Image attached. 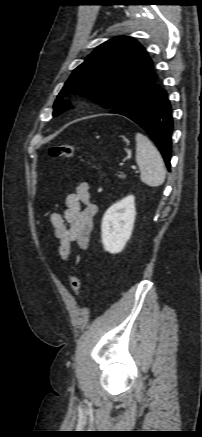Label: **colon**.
Instances as JSON below:
<instances>
[{
  "label": "colon",
  "mask_w": 202,
  "mask_h": 437,
  "mask_svg": "<svg viewBox=\"0 0 202 437\" xmlns=\"http://www.w3.org/2000/svg\"><path fill=\"white\" fill-rule=\"evenodd\" d=\"M76 148L72 145H68V144H64V145H55L52 146L49 151H48V155L50 157H64V158H69L72 157L75 152H76ZM70 287L72 290V293L77 296L80 293L81 290V279L78 275H73L70 278Z\"/></svg>",
  "instance_id": "colon-1"
}]
</instances>
